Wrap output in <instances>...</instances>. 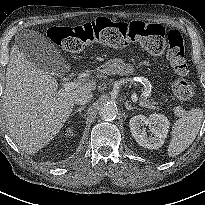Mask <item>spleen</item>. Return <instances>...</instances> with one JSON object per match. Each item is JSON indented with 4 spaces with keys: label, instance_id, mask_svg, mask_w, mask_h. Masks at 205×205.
I'll list each match as a JSON object with an SVG mask.
<instances>
[{
    "label": "spleen",
    "instance_id": "1",
    "mask_svg": "<svg viewBox=\"0 0 205 205\" xmlns=\"http://www.w3.org/2000/svg\"><path fill=\"white\" fill-rule=\"evenodd\" d=\"M203 119V110L193 108L178 119L172 129L168 145V156L175 157L189 147L195 140Z\"/></svg>",
    "mask_w": 205,
    "mask_h": 205
}]
</instances>
